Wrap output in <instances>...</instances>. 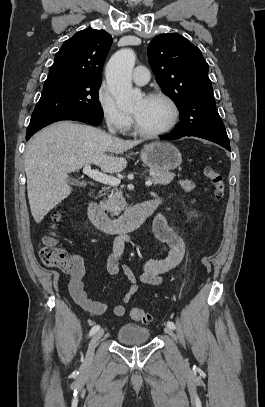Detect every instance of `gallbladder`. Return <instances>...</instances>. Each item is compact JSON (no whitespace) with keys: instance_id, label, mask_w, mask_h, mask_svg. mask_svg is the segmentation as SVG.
<instances>
[{"instance_id":"1","label":"gallbladder","mask_w":265,"mask_h":407,"mask_svg":"<svg viewBox=\"0 0 265 407\" xmlns=\"http://www.w3.org/2000/svg\"><path fill=\"white\" fill-rule=\"evenodd\" d=\"M70 182H71V184H73V185H78V184H79V182H78L77 180H74V179H72Z\"/></svg>"}]
</instances>
